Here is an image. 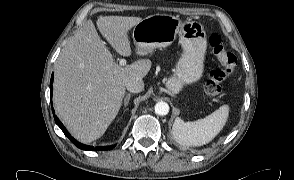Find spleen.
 Instances as JSON below:
<instances>
[{
    "instance_id": "1",
    "label": "spleen",
    "mask_w": 294,
    "mask_h": 180,
    "mask_svg": "<svg viewBox=\"0 0 294 180\" xmlns=\"http://www.w3.org/2000/svg\"><path fill=\"white\" fill-rule=\"evenodd\" d=\"M228 114V105H223L205 118L194 122H184L182 119L176 118L172 127L173 137L183 146L205 145L222 130Z\"/></svg>"
}]
</instances>
